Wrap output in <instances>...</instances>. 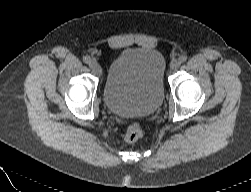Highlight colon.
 I'll use <instances>...</instances> for the list:
<instances>
[{"mask_svg":"<svg viewBox=\"0 0 251 192\" xmlns=\"http://www.w3.org/2000/svg\"><path fill=\"white\" fill-rule=\"evenodd\" d=\"M142 135H143V130L141 126L137 122H134L126 128L124 132V139L128 143H133L138 139H140Z\"/></svg>","mask_w":251,"mask_h":192,"instance_id":"colon-1","label":"colon"}]
</instances>
